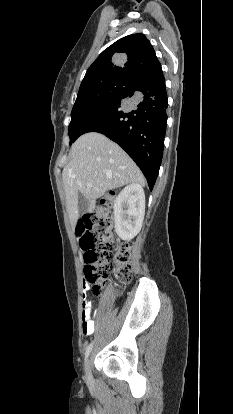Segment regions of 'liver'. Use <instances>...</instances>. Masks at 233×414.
I'll list each match as a JSON object with an SVG mask.
<instances>
[{
  "label": "liver",
  "mask_w": 233,
  "mask_h": 414,
  "mask_svg": "<svg viewBox=\"0 0 233 414\" xmlns=\"http://www.w3.org/2000/svg\"><path fill=\"white\" fill-rule=\"evenodd\" d=\"M71 161L62 172L66 205L73 227L79 219L78 198L89 202V212L107 191L129 183L145 184L134 161L116 143L97 132L80 136L70 150Z\"/></svg>",
  "instance_id": "1"
}]
</instances>
